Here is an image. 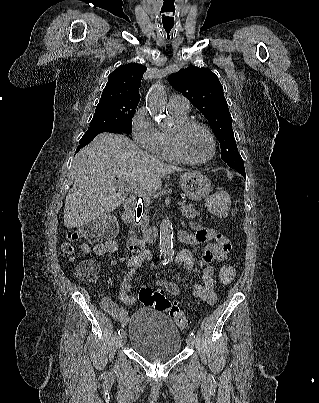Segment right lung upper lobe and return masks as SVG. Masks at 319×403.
I'll list each match as a JSON object with an SVG mask.
<instances>
[{
    "label": "right lung upper lobe",
    "instance_id": "obj_1",
    "mask_svg": "<svg viewBox=\"0 0 319 403\" xmlns=\"http://www.w3.org/2000/svg\"><path fill=\"white\" fill-rule=\"evenodd\" d=\"M146 67L129 63L115 69L108 77L98 104L121 103L137 106L140 100L139 87Z\"/></svg>",
    "mask_w": 319,
    "mask_h": 403
}]
</instances>
